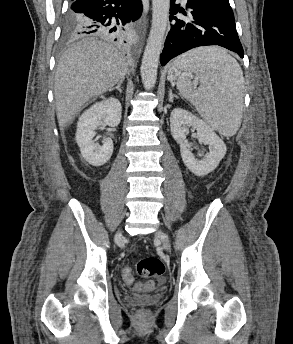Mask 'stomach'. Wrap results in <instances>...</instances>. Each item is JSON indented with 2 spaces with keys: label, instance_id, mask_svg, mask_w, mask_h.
Listing matches in <instances>:
<instances>
[{
  "label": "stomach",
  "instance_id": "0dacf381",
  "mask_svg": "<svg viewBox=\"0 0 293 344\" xmlns=\"http://www.w3.org/2000/svg\"><path fill=\"white\" fill-rule=\"evenodd\" d=\"M186 71L179 67L176 63H173V65L171 66V68L168 71V79L171 82H175V81H179L183 78H186Z\"/></svg>",
  "mask_w": 293,
  "mask_h": 344
}]
</instances>
